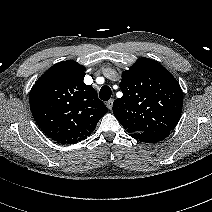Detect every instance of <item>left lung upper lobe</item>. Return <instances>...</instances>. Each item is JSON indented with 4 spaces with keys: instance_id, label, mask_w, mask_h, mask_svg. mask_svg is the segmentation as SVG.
Listing matches in <instances>:
<instances>
[{
    "instance_id": "1",
    "label": "left lung upper lobe",
    "mask_w": 212,
    "mask_h": 212,
    "mask_svg": "<svg viewBox=\"0 0 212 212\" xmlns=\"http://www.w3.org/2000/svg\"><path fill=\"white\" fill-rule=\"evenodd\" d=\"M123 96L113 103V113L129 134L170 132L182 112L183 92L178 81L158 62L140 58L123 72Z\"/></svg>"
}]
</instances>
